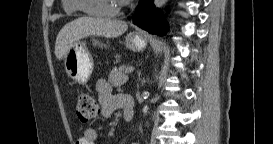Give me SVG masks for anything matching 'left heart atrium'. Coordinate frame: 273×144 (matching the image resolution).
<instances>
[{"label":"left heart atrium","instance_id":"1","mask_svg":"<svg viewBox=\"0 0 273 144\" xmlns=\"http://www.w3.org/2000/svg\"><path fill=\"white\" fill-rule=\"evenodd\" d=\"M118 2H119L120 4H126V3L128 2V0H118Z\"/></svg>","mask_w":273,"mask_h":144}]
</instances>
